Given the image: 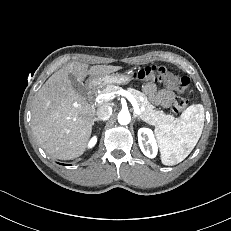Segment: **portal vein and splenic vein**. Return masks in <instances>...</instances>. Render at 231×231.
<instances>
[{
	"label": "portal vein and splenic vein",
	"instance_id": "1",
	"mask_svg": "<svg viewBox=\"0 0 231 231\" xmlns=\"http://www.w3.org/2000/svg\"><path fill=\"white\" fill-rule=\"evenodd\" d=\"M116 95H122V96L126 97L131 102V104L134 108L135 114L140 115L141 109L139 108V105H138L135 97L126 90H120L118 92H111V93H107V94H99L95 98V102L101 103L103 101H109V100L113 99ZM73 119L74 120L77 119V114L73 117Z\"/></svg>",
	"mask_w": 231,
	"mask_h": 231
}]
</instances>
